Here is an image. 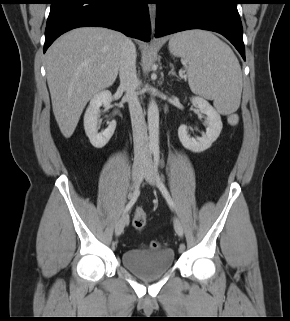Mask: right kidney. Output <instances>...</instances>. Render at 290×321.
<instances>
[{"label": "right kidney", "mask_w": 290, "mask_h": 321, "mask_svg": "<svg viewBox=\"0 0 290 321\" xmlns=\"http://www.w3.org/2000/svg\"><path fill=\"white\" fill-rule=\"evenodd\" d=\"M112 101V94L110 91H101L97 93L90 101L89 106L84 115V129L90 143L95 148L104 147L114 134L116 128V121L109 123L108 127L98 133V118L100 107H109Z\"/></svg>", "instance_id": "obj_1"}]
</instances>
